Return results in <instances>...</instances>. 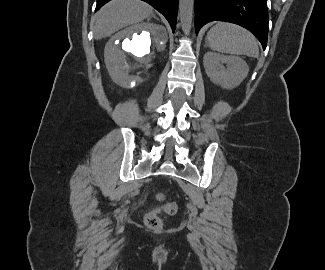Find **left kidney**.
I'll list each match as a JSON object with an SVG mask.
<instances>
[{"instance_id":"obj_1","label":"left kidney","mask_w":325,"mask_h":270,"mask_svg":"<svg viewBox=\"0 0 325 270\" xmlns=\"http://www.w3.org/2000/svg\"><path fill=\"white\" fill-rule=\"evenodd\" d=\"M203 64L210 80L225 89L237 87L249 72V67L242 58L215 52H207Z\"/></svg>"}]
</instances>
